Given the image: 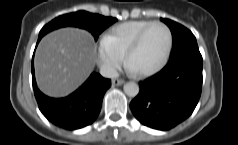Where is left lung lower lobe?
I'll return each instance as SVG.
<instances>
[{"label":"left lung lower lobe","instance_id":"0a47b994","mask_svg":"<svg viewBox=\"0 0 238 145\" xmlns=\"http://www.w3.org/2000/svg\"><path fill=\"white\" fill-rule=\"evenodd\" d=\"M202 56L198 48L171 57L156 75L141 81L130 103L136 119L157 130H169L194 111L202 90Z\"/></svg>","mask_w":238,"mask_h":145}]
</instances>
